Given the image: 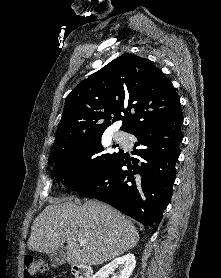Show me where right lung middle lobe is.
<instances>
[{
	"label": "right lung middle lobe",
	"instance_id": "dd1d6c3e",
	"mask_svg": "<svg viewBox=\"0 0 221 278\" xmlns=\"http://www.w3.org/2000/svg\"><path fill=\"white\" fill-rule=\"evenodd\" d=\"M101 136H90L80 142L51 150L49 164L54 166L58 183L77 190L95 179L120 153H104Z\"/></svg>",
	"mask_w": 221,
	"mask_h": 278
}]
</instances>
